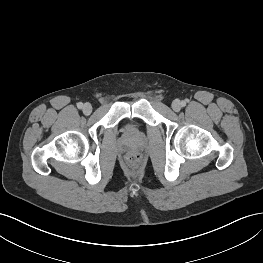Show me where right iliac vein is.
<instances>
[{
  "instance_id": "obj_1",
  "label": "right iliac vein",
  "mask_w": 263,
  "mask_h": 263,
  "mask_svg": "<svg viewBox=\"0 0 263 263\" xmlns=\"http://www.w3.org/2000/svg\"><path fill=\"white\" fill-rule=\"evenodd\" d=\"M82 111L85 115H89L92 112V106L90 103H85L83 105Z\"/></svg>"
}]
</instances>
